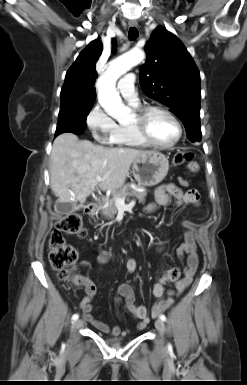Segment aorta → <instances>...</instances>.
I'll use <instances>...</instances> for the list:
<instances>
[{
	"mask_svg": "<svg viewBox=\"0 0 247 385\" xmlns=\"http://www.w3.org/2000/svg\"><path fill=\"white\" fill-rule=\"evenodd\" d=\"M145 58L141 50H131L112 60L105 73L97 81L98 101L103 109L115 119H122L129 115L130 109L125 106L116 90L117 80L138 65Z\"/></svg>",
	"mask_w": 247,
	"mask_h": 385,
	"instance_id": "obj_1",
	"label": "aorta"
}]
</instances>
